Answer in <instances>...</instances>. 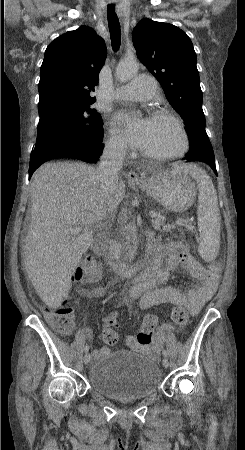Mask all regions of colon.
<instances>
[{
  "label": "colon",
  "instance_id": "obj_1",
  "mask_svg": "<svg viewBox=\"0 0 245 450\" xmlns=\"http://www.w3.org/2000/svg\"><path fill=\"white\" fill-rule=\"evenodd\" d=\"M219 265L213 263L210 265L211 270H217ZM101 275V267L96 261L88 256L77 268L74 273V281L80 282L86 279L87 282L96 283ZM170 316L173 321L179 325H185L189 320V311L183 305H175L170 311ZM45 315L47 320L59 331L68 332L72 328L71 309L68 306V300L63 299L61 304L54 309H46ZM105 328L102 334L103 341L108 345H114L118 342L119 336L115 332L114 327L118 323L116 314H108L104 318ZM157 326V320L153 316H148L144 319L139 333L137 334V341L140 344H148L154 335Z\"/></svg>",
  "mask_w": 245,
  "mask_h": 450
}]
</instances>
